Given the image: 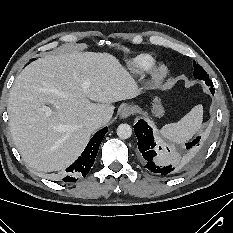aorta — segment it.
Wrapping results in <instances>:
<instances>
[{"mask_svg":"<svg viewBox=\"0 0 233 233\" xmlns=\"http://www.w3.org/2000/svg\"><path fill=\"white\" fill-rule=\"evenodd\" d=\"M117 135L120 139H128L132 135V128L128 124H120L117 127Z\"/></svg>","mask_w":233,"mask_h":233,"instance_id":"aorta-1","label":"aorta"}]
</instances>
